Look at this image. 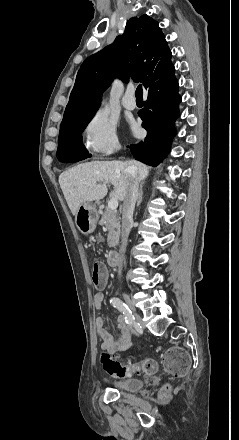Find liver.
Here are the masks:
<instances>
[{
	"label": "liver",
	"mask_w": 239,
	"mask_h": 440,
	"mask_svg": "<svg viewBox=\"0 0 239 440\" xmlns=\"http://www.w3.org/2000/svg\"><path fill=\"white\" fill-rule=\"evenodd\" d=\"M130 166L135 168L139 182L146 180L149 168L136 160L87 162V164H79V166L62 172L59 176V184L73 216L77 214V210L83 202H93V200L105 198L108 188L102 182H110L114 186V190L110 194L111 198H117L122 202L127 194L129 176L126 170Z\"/></svg>",
	"instance_id": "liver-1"
}]
</instances>
